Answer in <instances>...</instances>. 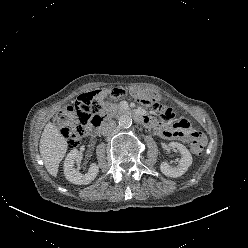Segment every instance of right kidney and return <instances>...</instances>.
Segmentation results:
<instances>
[{"mask_svg":"<svg viewBox=\"0 0 248 248\" xmlns=\"http://www.w3.org/2000/svg\"><path fill=\"white\" fill-rule=\"evenodd\" d=\"M80 157V153L77 149H73L69 152L64 162V175L68 181L73 184H89L97 176L99 167L97 164L92 163L86 174H82L74 168V163Z\"/></svg>","mask_w":248,"mask_h":248,"instance_id":"obj_1","label":"right kidney"}]
</instances>
